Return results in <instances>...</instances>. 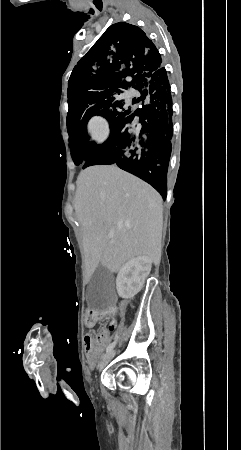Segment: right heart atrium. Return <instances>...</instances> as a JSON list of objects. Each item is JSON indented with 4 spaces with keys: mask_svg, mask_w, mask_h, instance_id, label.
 Segmentation results:
<instances>
[{
    "mask_svg": "<svg viewBox=\"0 0 241 450\" xmlns=\"http://www.w3.org/2000/svg\"><path fill=\"white\" fill-rule=\"evenodd\" d=\"M90 139L96 145H101L106 140V135L109 133V123L103 116H95L89 123Z\"/></svg>",
    "mask_w": 241,
    "mask_h": 450,
    "instance_id": "d8ad5b80",
    "label": "right heart atrium"
}]
</instances>
